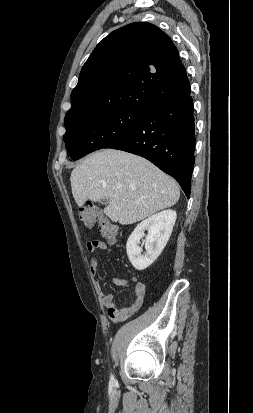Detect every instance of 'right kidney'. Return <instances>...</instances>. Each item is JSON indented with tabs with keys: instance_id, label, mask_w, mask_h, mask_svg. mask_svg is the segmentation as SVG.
I'll use <instances>...</instances> for the list:
<instances>
[{
	"instance_id": "1",
	"label": "right kidney",
	"mask_w": 253,
	"mask_h": 413,
	"mask_svg": "<svg viewBox=\"0 0 253 413\" xmlns=\"http://www.w3.org/2000/svg\"><path fill=\"white\" fill-rule=\"evenodd\" d=\"M176 218V212L169 209L154 214L137 225L126 244L128 258L135 269L144 270L157 259L171 236ZM145 230L148 231L146 252L142 254L139 242Z\"/></svg>"
}]
</instances>
